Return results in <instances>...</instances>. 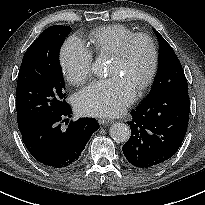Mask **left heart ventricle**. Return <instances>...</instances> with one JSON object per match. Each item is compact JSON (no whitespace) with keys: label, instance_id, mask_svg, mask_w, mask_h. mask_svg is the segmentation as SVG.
<instances>
[{"label":"left heart ventricle","instance_id":"left-heart-ventricle-1","mask_svg":"<svg viewBox=\"0 0 205 205\" xmlns=\"http://www.w3.org/2000/svg\"><path fill=\"white\" fill-rule=\"evenodd\" d=\"M150 61L149 46L145 41L137 40L132 44L123 60L115 61L112 58L109 74L124 77L137 88L148 73Z\"/></svg>","mask_w":205,"mask_h":205}]
</instances>
